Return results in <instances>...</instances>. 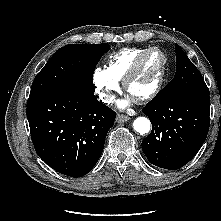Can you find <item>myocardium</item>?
Instances as JSON below:
<instances>
[{"mask_svg":"<svg viewBox=\"0 0 221 221\" xmlns=\"http://www.w3.org/2000/svg\"><path fill=\"white\" fill-rule=\"evenodd\" d=\"M155 51L159 52L162 57L161 70L159 72V75H158V78H157V81H156L154 87L146 94L136 97V98H133V100L137 103L146 102V101L152 99L162 89V86L165 81V76H166V72H167V64H168V58H167L166 54L164 53V51L162 49H160L159 47H156V46L147 48L135 59V61L133 62L132 66L130 67L129 71L127 72V74L125 75V77L123 79V87H124L125 91L128 92V88H129L131 81L136 77V75L141 70V67H142L145 59L147 58V56L151 52H155Z\"/></svg>","mask_w":221,"mask_h":221,"instance_id":"obj_1","label":"myocardium"}]
</instances>
